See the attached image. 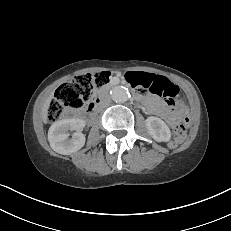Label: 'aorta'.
<instances>
[{"mask_svg": "<svg viewBox=\"0 0 231 231\" xmlns=\"http://www.w3.org/2000/svg\"><path fill=\"white\" fill-rule=\"evenodd\" d=\"M110 94H111L112 100L116 103H124L130 97L128 90L124 88L123 86L114 87L111 90Z\"/></svg>", "mask_w": 231, "mask_h": 231, "instance_id": "obj_1", "label": "aorta"}]
</instances>
